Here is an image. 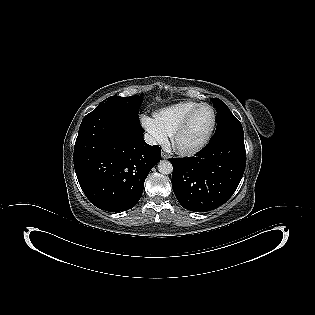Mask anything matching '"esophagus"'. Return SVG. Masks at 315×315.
<instances>
[{
	"label": "esophagus",
	"mask_w": 315,
	"mask_h": 315,
	"mask_svg": "<svg viewBox=\"0 0 315 315\" xmlns=\"http://www.w3.org/2000/svg\"><path fill=\"white\" fill-rule=\"evenodd\" d=\"M161 156H162L163 159H170L171 158L170 155H168L165 152H162Z\"/></svg>",
	"instance_id": "esophagus-1"
}]
</instances>
